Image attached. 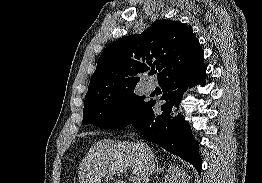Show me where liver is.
<instances>
[{
	"mask_svg": "<svg viewBox=\"0 0 262 183\" xmlns=\"http://www.w3.org/2000/svg\"><path fill=\"white\" fill-rule=\"evenodd\" d=\"M131 168L143 183L149 182L145 159L138 144L103 139L95 142L82 159L78 178L80 183H101L115 172ZM115 183H123L118 180Z\"/></svg>",
	"mask_w": 262,
	"mask_h": 183,
	"instance_id": "6515ba94",
	"label": "liver"
}]
</instances>
